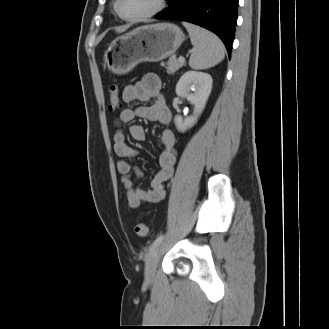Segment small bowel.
Listing matches in <instances>:
<instances>
[{
  "mask_svg": "<svg viewBox=\"0 0 329 329\" xmlns=\"http://www.w3.org/2000/svg\"><path fill=\"white\" fill-rule=\"evenodd\" d=\"M161 87L160 78L152 73L145 75L141 81L126 86L122 94L124 102L152 101V103L135 109H124L113 122L114 152L121 157L116 163V168L121 175V181L127 191V200L131 208H137L142 203L161 201L165 196L164 183L172 176L176 163L175 135L171 130L164 129L160 134L161 151L158 159V173L148 188L135 186L133 177L141 176V172L128 159L135 157L137 150L126 143L124 126L136 117L161 125L170 123L172 115L161 93ZM128 133L134 141L142 142L146 139L145 129L141 125H130Z\"/></svg>",
  "mask_w": 329,
  "mask_h": 329,
  "instance_id": "c3829d8e",
  "label": "small bowel"
}]
</instances>
